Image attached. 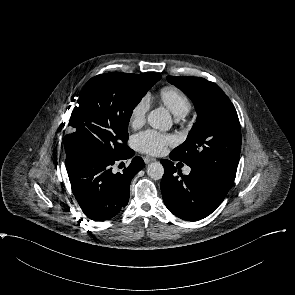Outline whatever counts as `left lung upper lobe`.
<instances>
[{
	"mask_svg": "<svg viewBox=\"0 0 295 295\" xmlns=\"http://www.w3.org/2000/svg\"><path fill=\"white\" fill-rule=\"evenodd\" d=\"M193 101L198 114L186 141L171 154L194 169L206 170L230 188L241 151V128L235 107L218 85L200 77L168 76Z\"/></svg>",
	"mask_w": 295,
	"mask_h": 295,
	"instance_id": "5c2ea615",
	"label": "left lung upper lobe"
}]
</instances>
